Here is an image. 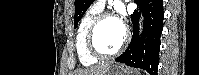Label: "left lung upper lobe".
I'll return each instance as SVG.
<instances>
[{"instance_id":"obj_1","label":"left lung upper lobe","mask_w":199,"mask_h":75,"mask_svg":"<svg viewBox=\"0 0 199 75\" xmlns=\"http://www.w3.org/2000/svg\"><path fill=\"white\" fill-rule=\"evenodd\" d=\"M94 0H75L74 26L76 27L86 10Z\"/></svg>"}]
</instances>
